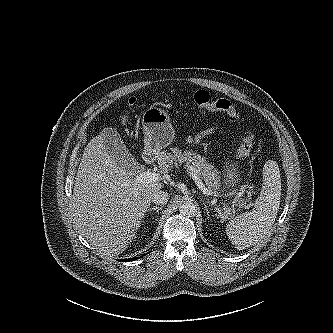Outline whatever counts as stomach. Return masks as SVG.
Segmentation results:
<instances>
[{
  "mask_svg": "<svg viewBox=\"0 0 333 333\" xmlns=\"http://www.w3.org/2000/svg\"><path fill=\"white\" fill-rule=\"evenodd\" d=\"M144 131V154L147 156L158 155L161 149L167 147L174 138V130L170 123L169 115L162 109L150 107L142 116ZM224 183L229 190L224 195L232 198L236 195V188L241 181L240 172L234 164L226 167Z\"/></svg>",
  "mask_w": 333,
  "mask_h": 333,
  "instance_id": "stomach-1",
  "label": "stomach"
}]
</instances>
